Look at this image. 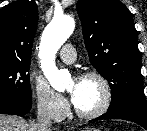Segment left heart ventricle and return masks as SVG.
Masks as SVG:
<instances>
[{"instance_id":"left-heart-ventricle-1","label":"left heart ventricle","mask_w":147,"mask_h":131,"mask_svg":"<svg viewBox=\"0 0 147 131\" xmlns=\"http://www.w3.org/2000/svg\"><path fill=\"white\" fill-rule=\"evenodd\" d=\"M81 90L79 99L75 105L81 111H92L96 109L102 101V90L97 81L92 79H80ZM75 82L72 81L68 85V89L71 91Z\"/></svg>"}]
</instances>
